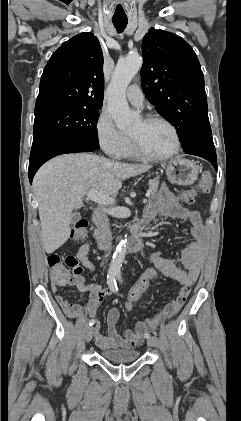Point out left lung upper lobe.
<instances>
[{
    "instance_id": "obj_1",
    "label": "left lung upper lobe",
    "mask_w": 241,
    "mask_h": 421,
    "mask_svg": "<svg viewBox=\"0 0 241 421\" xmlns=\"http://www.w3.org/2000/svg\"><path fill=\"white\" fill-rule=\"evenodd\" d=\"M142 53L145 97L177 129L183 150L213 141L203 72L192 47L152 28L143 38Z\"/></svg>"
}]
</instances>
